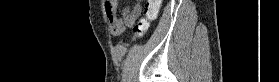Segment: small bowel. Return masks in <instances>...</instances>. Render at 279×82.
Listing matches in <instances>:
<instances>
[{
    "mask_svg": "<svg viewBox=\"0 0 279 82\" xmlns=\"http://www.w3.org/2000/svg\"><path fill=\"white\" fill-rule=\"evenodd\" d=\"M117 7V1H107L106 14L111 23L112 30L116 34H122L126 27H131L135 24L140 15L141 7L139 4H136L132 8H125L121 11L120 16Z\"/></svg>",
    "mask_w": 279,
    "mask_h": 82,
    "instance_id": "c3829d8e",
    "label": "small bowel"
}]
</instances>
